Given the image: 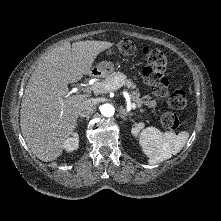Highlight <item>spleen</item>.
Returning <instances> with one entry per match:
<instances>
[{"label":"spleen","mask_w":221,"mask_h":221,"mask_svg":"<svg viewBox=\"0 0 221 221\" xmlns=\"http://www.w3.org/2000/svg\"><path fill=\"white\" fill-rule=\"evenodd\" d=\"M188 138L187 131L176 135L174 132L162 133L155 127H147L140 134L139 144L144 154L149 157V164H157L180 152Z\"/></svg>","instance_id":"spleen-1"}]
</instances>
